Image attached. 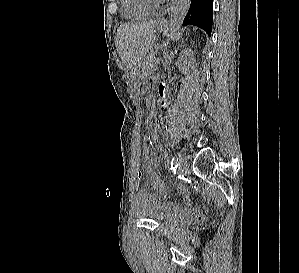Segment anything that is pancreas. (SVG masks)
<instances>
[{"label":"pancreas","instance_id":"1","mask_svg":"<svg viewBox=\"0 0 299 273\" xmlns=\"http://www.w3.org/2000/svg\"><path fill=\"white\" fill-rule=\"evenodd\" d=\"M156 68H157V62L153 59V54L149 53L143 61V65H142L143 73L146 77H148L154 74Z\"/></svg>","mask_w":299,"mask_h":273}]
</instances>
